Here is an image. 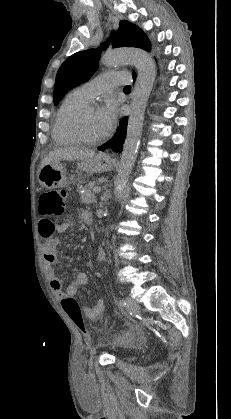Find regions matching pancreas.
<instances>
[{
	"mask_svg": "<svg viewBox=\"0 0 231 419\" xmlns=\"http://www.w3.org/2000/svg\"><path fill=\"white\" fill-rule=\"evenodd\" d=\"M96 201V196L94 195L92 188H87L84 193H81L82 204H92L96 203Z\"/></svg>",
	"mask_w": 231,
	"mask_h": 419,
	"instance_id": "1",
	"label": "pancreas"
}]
</instances>
